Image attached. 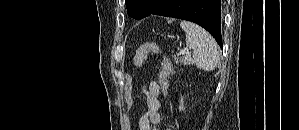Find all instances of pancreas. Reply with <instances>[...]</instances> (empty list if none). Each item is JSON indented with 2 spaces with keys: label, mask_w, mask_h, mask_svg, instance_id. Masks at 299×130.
<instances>
[{
  "label": "pancreas",
  "mask_w": 299,
  "mask_h": 130,
  "mask_svg": "<svg viewBox=\"0 0 299 130\" xmlns=\"http://www.w3.org/2000/svg\"><path fill=\"white\" fill-rule=\"evenodd\" d=\"M176 64L191 65L193 63L190 55L175 57Z\"/></svg>",
  "instance_id": "1"
}]
</instances>
